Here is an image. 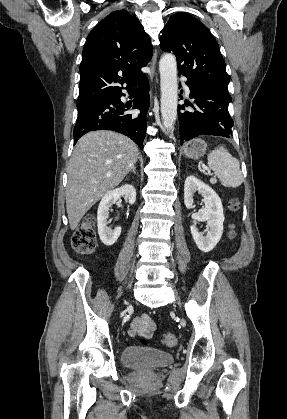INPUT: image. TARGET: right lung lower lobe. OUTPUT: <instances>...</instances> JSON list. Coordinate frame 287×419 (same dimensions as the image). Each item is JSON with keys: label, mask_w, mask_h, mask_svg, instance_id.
I'll list each match as a JSON object with an SVG mask.
<instances>
[{"label": "right lung lower lobe", "mask_w": 287, "mask_h": 419, "mask_svg": "<svg viewBox=\"0 0 287 419\" xmlns=\"http://www.w3.org/2000/svg\"><path fill=\"white\" fill-rule=\"evenodd\" d=\"M126 90L134 97L133 105L125 106L120 100L124 94L121 92L103 98L78 115L73 130L74 144L87 132L94 130H112L131 138L140 149H143V140L146 135L147 117L149 108V83L143 75ZM132 107L140 110L138 116L126 113Z\"/></svg>", "instance_id": "98d812e1"}]
</instances>
